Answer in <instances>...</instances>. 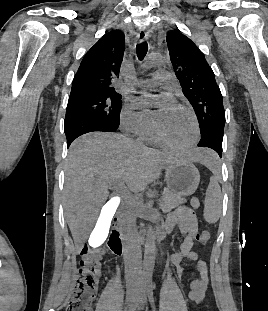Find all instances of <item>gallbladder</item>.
<instances>
[{
    "label": "gallbladder",
    "mask_w": 268,
    "mask_h": 311,
    "mask_svg": "<svg viewBox=\"0 0 268 311\" xmlns=\"http://www.w3.org/2000/svg\"><path fill=\"white\" fill-rule=\"evenodd\" d=\"M121 205L120 199H108L103 202L101 206L100 218L97 222V227H93L90 233V245L91 246H102L103 240L107 239L108 234L111 232L110 221L113 220L115 213Z\"/></svg>",
    "instance_id": "1"
}]
</instances>
